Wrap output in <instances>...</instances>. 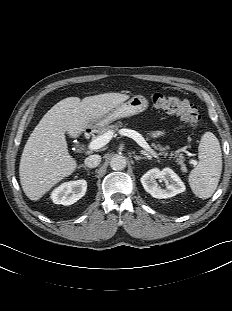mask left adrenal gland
<instances>
[{"label":"left adrenal gland","mask_w":232,"mask_h":311,"mask_svg":"<svg viewBox=\"0 0 232 311\" xmlns=\"http://www.w3.org/2000/svg\"><path fill=\"white\" fill-rule=\"evenodd\" d=\"M134 159L135 160H140V159H147V158L143 157V156L134 155Z\"/></svg>","instance_id":"left-adrenal-gland-1"}]
</instances>
